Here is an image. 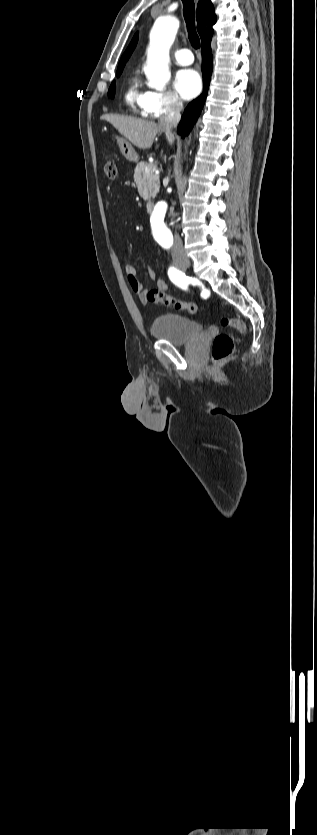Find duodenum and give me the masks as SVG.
<instances>
[{
    "label": "duodenum",
    "mask_w": 317,
    "mask_h": 835,
    "mask_svg": "<svg viewBox=\"0 0 317 835\" xmlns=\"http://www.w3.org/2000/svg\"><path fill=\"white\" fill-rule=\"evenodd\" d=\"M154 204H155L154 201H151V200L148 201L147 204H146V210L148 212H152L153 208H154Z\"/></svg>",
    "instance_id": "410a0bca"
}]
</instances>
